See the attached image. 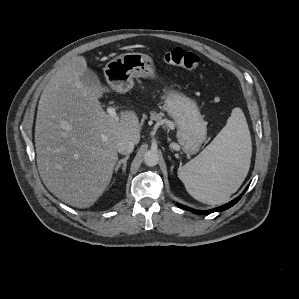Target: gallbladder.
Returning <instances> with one entry per match:
<instances>
[{
    "mask_svg": "<svg viewBox=\"0 0 299 299\" xmlns=\"http://www.w3.org/2000/svg\"><path fill=\"white\" fill-rule=\"evenodd\" d=\"M80 81L86 88L100 85L98 76L90 69H87L84 72V74L80 77Z\"/></svg>",
    "mask_w": 299,
    "mask_h": 299,
    "instance_id": "gallbladder-1",
    "label": "gallbladder"
}]
</instances>
